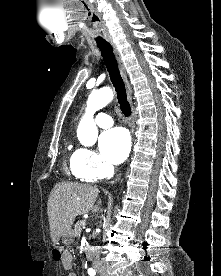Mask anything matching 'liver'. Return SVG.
I'll return each instance as SVG.
<instances>
[{"instance_id": "1", "label": "liver", "mask_w": 221, "mask_h": 276, "mask_svg": "<svg viewBox=\"0 0 221 276\" xmlns=\"http://www.w3.org/2000/svg\"><path fill=\"white\" fill-rule=\"evenodd\" d=\"M99 190L95 185L62 182L52 189L47 213L50 225V235L53 243L71 229L75 217L99 211L101 200L94 206Z\"/></svg>"}]
</instances>
